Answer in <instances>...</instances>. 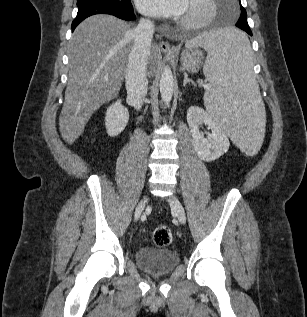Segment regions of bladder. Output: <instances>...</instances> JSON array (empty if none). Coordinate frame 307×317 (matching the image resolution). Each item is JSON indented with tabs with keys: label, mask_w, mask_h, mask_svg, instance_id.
Returning a JSON list of instances; mask_svg holds the SVG:
<instances>
[{
	"label": "bladder",
	"mask_w": 307,
	"mask_h": 317,
	"mask_svg": "<svg viewBox=\"0 0 307 317\" xmlns=\"http://www.w3.org/2000/svg\"><path fill=\"white\" fill-rule=\"evenodd\" d=\"M138 267L146 274L160 276L170 273L180 262L179 254L172 249L141 247L135 253Z\"/></svg>",
	"instance_id": "obj_1"
}]
</instances>
